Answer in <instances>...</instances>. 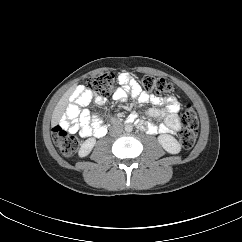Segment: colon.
Here are the masks:
<instances>
[{"label":"colon","instance_id":"obj_1","mask_svg":"<svg viewBox=\"0 0 242 242\" xmlns=\"http://www.w3.org/2000/svg\"><path fill=\"white\" fill-rule=\"evenodd\" d=\"M143 87L153 92L158 96L169 95L173 91L172 85L165 79L144 76L142 77ZM115 76L112 73H103L88 81L87 87L89 91H93L102 95H110L115 90ZM182 130L180 132L181 144L184 148L190 149L193 147L198 129V117L195 109L187 105L181 113ZM55 143L65 157H71L75 154L79 146V140L71 134L61 124L54 128Z\"/></svg>","mask_w":242,"mask_h":242}]
</instances>
